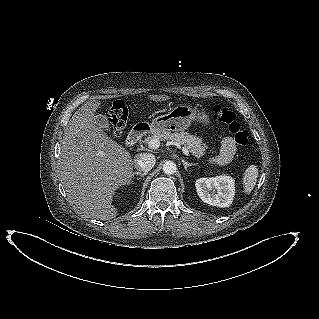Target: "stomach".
I'll use <instances>...</instances> for the list:
<instances>
[{"mask_svg": "<svg viewBox=\"0 0 319 319\" xmlns=\"http://www.w3.org/2000/svg\"><path fill=\"white\" fill-rule=\"evenodd\" d=\"M193 121L209 123L206 112L193 105L181 103L172 107L165 115L154 118L151 128L154 132H182L188 129Z\"/></svg>", "mask_w": 319, "mask_h": 319, "instance_id": "0dacf381", "label": "stomach"}]
</instances>
